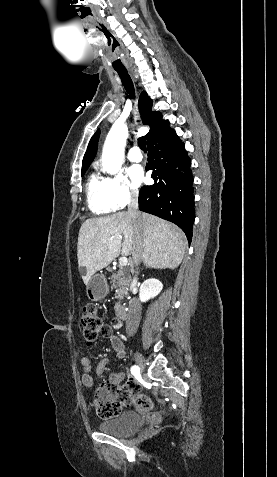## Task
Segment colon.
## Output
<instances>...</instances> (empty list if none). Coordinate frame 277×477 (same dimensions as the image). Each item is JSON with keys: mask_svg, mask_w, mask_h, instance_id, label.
Segmentation results:
<instances>
[{"mask_svg": "<svg viewBox=\"0 0 277 477\" xmlns=\"http://www.w3.org/2000/svg\"><path fill=\"white\" fill-rule=\"evenodd\" d=\"M83 337L91 346L102 333L103 324L97 309L93 305L84 308L81 316ZM134 405L139 411H150L153 402L150 397L139 393L134 383L119 385L112 380L103 382L97 389L94 407L101 418H112L119 415L125 406Z\"/></svg>", "mask_w": 277, "mask_h": 477, "instance_id": "colon-1", "label": "colon"}]
</instances>
